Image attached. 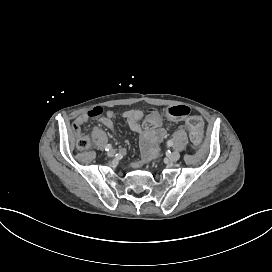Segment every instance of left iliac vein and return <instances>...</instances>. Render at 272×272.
<instances>
[{"mask_svg": "<svg viewBox=\"0 0 272 272\" xmlns=\"http://www.w3.org/2000/svg\"><path fill=\"white\" fill-rule=\"evenodd\" d=\"M180 158V153L178 151H174L168 155V160L171 162H176Z\"/></svg>", "mask_w": 272, "mask_h": 272, "instance_id": "4c4485c4", "label": "left iliac vein"}]
</instances>
